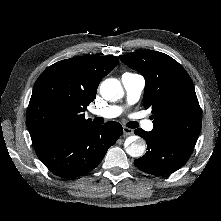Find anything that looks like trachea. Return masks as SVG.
I'll return each mask as SVG.
<instances>
[{
	"label": "trachea",
	"instance_id": "3493384b",
	"mask_svg": "<svg viewBox=\"0 0 221 221\" xmlns=\"http://www.w3.org/2000/svg\"><path fill=\"white\" fill-rule=\"evenodd\" d=\"M139 126L138 122L130 121L127 123V127L129 128H137Z\"/></svg>",
	"mask_w": 221,
	"mask_h": 221
}]
</instances>
